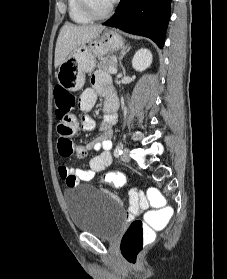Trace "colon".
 <instances>
[{
    "instance_id": "obj_1",
    "label": "colon",
    "mask_w": 227,
    "mask_h": 279,
    "mask_svg": "<svg viewBox=\"0 0 227 279\" xmlns=\"http://www.w3.org/2000/svg\"><path fill=\"white\" fill-rule=\"evenodd\" d=\"M75 107L74 95L64 88L57 89L56 116L60 122V130L63 135L67 136L72 133V112ZM68 145V143H67ZM105 184L122 187L127 182L126 175L121 171L107 173L103 177ZM71 185H75L71 180ZM142 195L141 192H135ZM147 194L150 196L152 203L160 205L165 203V195L156 189L149 188ZM174 215L171 207H161L159 209L150 210L146 213L145 219H135L128 226L122 240L121 252L123 258L131 265L138 262L144 242L153 235V228L149 222L160 223L172 219Z\"/></svg>"
}]
</instances>
